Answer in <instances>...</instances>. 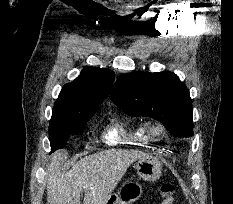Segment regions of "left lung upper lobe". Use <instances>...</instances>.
<instances>
[{"instance_id":"obj_1","label":"left lung upper lobe","mask_w":233,"mask_h":204,"mask_svg":"<svg viewBox=\"0 0 233 204\" xmlns=\"http://www.w3.org/2000/svg\"><path fill=\"white\" fill-rule=\"evenodd\" d=\"M111 99L130 116H147L160 121L175 136L193 135L190 93L174 73L123 75L116 81Z\"/></svg>"}]
</instances>
